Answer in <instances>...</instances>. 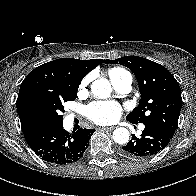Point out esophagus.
<instances>
[{"label":"esophagus","instance_id":"34e87169","mask_svg":"<svg viewBox=\"0 0 196 196\" xmlns=\"http://www.w3.org/2000/svg\"><path fill=\"white\" fill-rule=\"evenodd\" d=\"M103 130H108V131H111V130H113L114 129V127H104V128H102Z\"/></svg>","mask_w":196,"mask_h":196}]
</instances>
